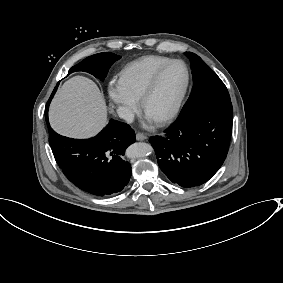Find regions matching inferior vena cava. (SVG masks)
Segmentation results:
<instances>
[{"mask_svg": "<svg viewBox=\"0 0 283 283\" xmlns=\"http://www.w3.org/2000/svg\"><path fill=\"white\" fill-rule=\"evenodd\" d=\"M118 115L122 118L126 123H132L134 118L133 111L127 106H121L118 108Z\"/></svg>", "mask_w": 283, "mask_h": 283, "instance_id": "602c4592", "label": "inferior vena cava"}]
</instances>
